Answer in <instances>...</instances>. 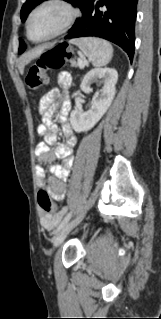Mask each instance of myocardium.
Here are the masks:
<instances>
[{
  "label": "myocardium",
  "mask_w": 161,
  "mask_h": 319,
  "mask_svg": "<svg viewBox=\"0 0 161 319\" xmlns=\"http://www.w3.org/2000/svg\"><path fill=\"white\" fill-rule=\"evenodd\" d=\"M49 6H57L62 8L65 11V17L62 23L53 33L43 38L34 39L32 38L30 34V25H31L32 19L38 12H40L42 9ZM77 15H78L77 9L67 0H44L37 7L33 9V11L30 13L28 17L27 25H26L27 37L32 42H45L53 38H56L57 36L63 34L72 25Z\"/></svg>",
  "instance_id": "myocardium-1"
}]
</instances>
